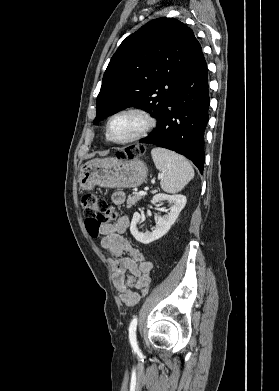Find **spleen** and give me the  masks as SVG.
I'll return each mask as SVG.
<instances>
[{"mask_svg":"<svg viewBox=\"0 0 279 391\" xmlns=\"http://www.w3.org/2000/svg\"><path fill=\"white\" fill-rule=\"evenodd\" d=\"M156 168L162 173L160 186L167 193L181 191L194 177V169L186 158L165 148L151 150Z\"/></svg>","mask_w":279,"mask_h":391,"instance_id":"spleen-1","label":"spleen"}]
</instances>
